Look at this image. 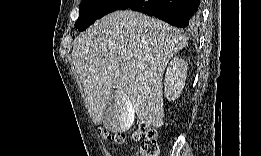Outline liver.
Here are the masks:
<instances>
[{"mask_svg":"<svg viewBox=\"0 0 261 156\" xmlns=\"http://www.w3.org/2000/svg\"><path fill=\"white\" fill-rule=\"evenodd\" d=\"M182 30L131 10L115 11L80 34L72 61L83 85L85 105L96 125L115 99L123 116L114 132H124L134 115L147 126L163 125L164 70L187 45Z\"/></svg>","mask_w":261,"mask_h":156,"instance_id":"liver-1","label":"liver"}]
</instances>
